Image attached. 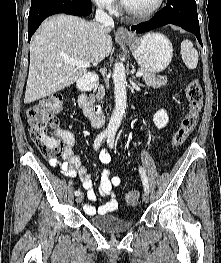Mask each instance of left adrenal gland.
I'll return each mask as SVG.
<instances>
[{"label": "left adrenal gland", "instance_id": "obj_1", "mask_svg": "<svg viewBox=\"0 0 221 263\" xmlns=\"http://www.w3.org/2000/svg\"><path fill=\"white\" fill-rule=\"evenodd\" d=\"M134 78V77H133ZM139 86H143L142 84L138 83Z\"/></svg>", "mask_w": 221, "mask_h": 263}]
</instances>
